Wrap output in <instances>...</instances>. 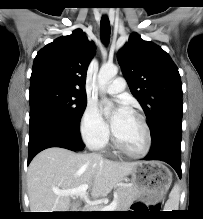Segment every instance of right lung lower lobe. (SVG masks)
I'll use <instances>...</instances> for the list:
<instances>
[{"mask_svg": "<svg viewBox=\"0 0 203 219\" xmlns=\"http://www.w3.org/2000/svg\"><path fill=\"white\" fill-rule=\"evenodd\" d=\"M29 126L28 164L46 148L61 147L72 151L84 148L79 128H69L39 115L30 116Z\"/></svg>", "mask_w": 203, "mask_h": 219, "instance_id": "1", "label": "right lung lower lobe"}]
</instances>
